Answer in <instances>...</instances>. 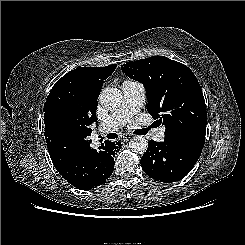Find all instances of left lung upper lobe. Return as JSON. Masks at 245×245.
Returning a JSON list of instances; mask_svg holds the SVG:
<instances>
[{
	"instance_id": "left-lung-upper-lobe-1",
	"label": "left lung upper lobe",
	"mask_w": 245,
	"mask_h": 245,
	"mask_svg": "<svg viewBox=\"0 0 245 245\" xmlns=\"http://www.w3.org/2000/svg\"><path fill=\"white\" fill-rule=\"evenodd\" d=\"M130 78L141 82L147 95V110L165 125V141L204 146L206 105L194 73L182 63L154 56L121 65Z\"/></svg>"
}]
</instances>
